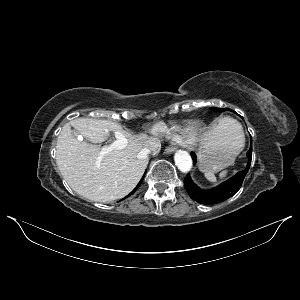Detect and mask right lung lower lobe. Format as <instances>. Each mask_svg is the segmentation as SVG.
I'll return each mask as SVG.
<instances>
[{
  "label": "right lung lower lobe",
  "mask_w": 300,
  "mask_h": 300,
  "mask_svg": "<svg viewBox=\"0 0 300 300\" xmlns=\"http://www.w3.org/2000/svg\"><path fill=\"white\" fill-rule=\"evenodd\" d=\"M141 181H142V180H141ZM141 181L139 182V184L137 185V187L140 185ZM137 187L133 190V192L137 189ZM133 192H132V193H133Z\"/></svg>",
  "instance_id": "98d812e1"
}]
</instances>
